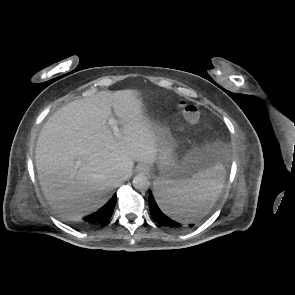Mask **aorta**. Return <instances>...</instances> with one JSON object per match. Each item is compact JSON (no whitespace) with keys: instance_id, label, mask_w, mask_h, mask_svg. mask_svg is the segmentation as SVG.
Returning <instances> with one entry per match:
<instances>
[{"instance_id":"obj_1","label":"aorta","mask_w":295,"mask_h":295,"mask_svg":"<svg viewBox=\"0 0 295 295\" xmlns=\"http://www.w3.org/2000/svg\"><path fill=\"white\" fill-rule=\"evenodd\" d=\"M133 187L137 190L145 191L149 188L150 182L146 175L144 174H137L133 178Z\"/></svg>"}]
</instances>
